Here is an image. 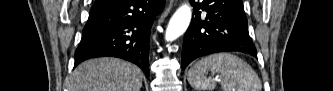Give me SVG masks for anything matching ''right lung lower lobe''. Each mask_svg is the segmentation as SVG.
Listing matches in <instances>:
<instances>
[{
  "label": "right lung lower lobe",
  "instance_id": "98d812e1",
  "mask_svg": "<svg viewBox=\"0 0 333 91\" xmlns=\"http://www.w3.org/2000/svg\"><path fill=\"white\" fill-rule=\"evenodd\" d=\"M164 0H108L95 2L75 53L80 62L112 56L131 61L149 77V38Z\"/></svg>",
  "mask_w": 333,
  "mask_h": 91
}]
</instances>
